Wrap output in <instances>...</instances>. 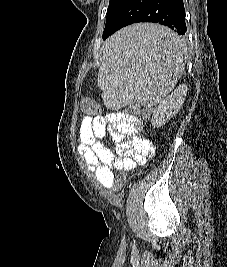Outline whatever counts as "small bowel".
<instances>
[{
	"mask_svg": "<svg viewBox=\"0 0 227 267\" xmlns=\"http://www.w3.org/2000/svg\"><path fill=\"white\" fill-rule=\"evenodd\" d=\"M111 127V137L117 145L113 151L102 139ZM142 123L128 113H113L108 116L86 115L79 127V153L99 184L105 188L114 185L113 173L120 169L131 170L145 165L154 155L153 143L140 136Z\"/></svg>",
	"mask_w": 227,
	"mask_h": 267,
	"instance_id": "small-bowel-1",
	"label": "small bowel"
}]
</instances>
